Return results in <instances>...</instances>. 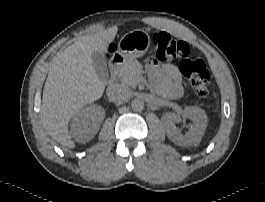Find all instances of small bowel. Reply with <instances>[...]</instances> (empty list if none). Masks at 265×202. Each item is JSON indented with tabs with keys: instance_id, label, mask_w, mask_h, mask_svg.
<instances>
[{
	"instance_id": "1",
	"label": "small bowel",
	"mask_w": 265,
	"mask_h": 202,
	"mask_svg": "<svg viewBox=\"0 0 265 202\" xmlns=\"http://www.w3.org/2000/svg\"><path fill=\"white\" fill-rule=\"evenodd\" d=\"M146 68L153 81L162 79L175 90H179L182 76L177 66L173 64H159L156 61H152L147 64Z\"/></svg>"
}]
</instances>
